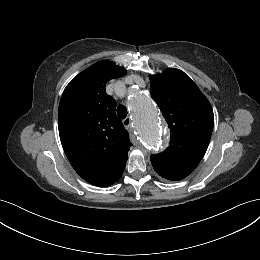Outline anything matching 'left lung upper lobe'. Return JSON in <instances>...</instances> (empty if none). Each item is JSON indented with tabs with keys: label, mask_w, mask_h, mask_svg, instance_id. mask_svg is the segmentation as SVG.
I'll return each instance as SVG.
<instances>
[{
	"label": "left lung upper lobe",
	"mask_w": 260,
	"mask_h": 260,
	"mask_svg": "<svg viewBox=\"0 0 260 260\" xmlns=\"http://www.w3.org/2000/svg\"><path fill=\"white\" fill-rule=\"evenodd\" d=\"M151 97L170 128L169 147L151 156L161 177L178 181L187 177L203 158L213 130L211 105L183 71L168 68L150 75Z\"/></svg>",
	"instance_id": "obj_1"
}]
</instances>
